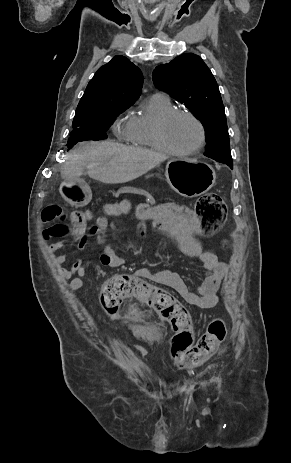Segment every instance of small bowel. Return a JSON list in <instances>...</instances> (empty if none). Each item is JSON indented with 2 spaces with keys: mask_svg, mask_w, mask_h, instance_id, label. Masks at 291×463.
Returning <instances> with one entry per match:
<instances>
[{
  "mask_svg": "<svg viewBox=\"0 0 291 463\" xmlns=\"http://www.w3.org/2000/svg\"><path fill=\"white\" fill-rule=\"evenodd\" d=\"M119 215H122V210H119ZM155 218L156 217L153 216L151 219H144L140 216L138 232L144 233L146 223L152 221L157 229L167 233L175 240L183 254L190 257H197L200 260L204 271L202 280L197 288L193 290L186 284L182 277L168 268L161 271H151L147 268H140L134 272V275L173 289L186 302L198 308L209 309L217 306L219 302L217 291L221 282L227 275V264L219 261L214 253L202 249L195 237L197 231L189 226H156L154 223ZM109 229H115V225L111 223L107 217L101 216L96 220L95 226L90 228L88 234L94 236L98 242L101 264L111 268H119L124 266V259L118 256L103 242L104 236ZM86 237V232H83L77 237V250H82L84 248ZM64 246V242H58L50 245L49 250L51 252H56L63 249ZM70 261V268L62 266ZM54 263L59 265V275L69 280L68 289L71 293H76L86 286L88 272L83 260L79 258L71 260L68 255H59L54 258Z\"/></svg>",
  "mask_w": 291,
  "mask_h": 463,
  "instance_id": "1",
  "label": "small bowel"
}]
</instances>
